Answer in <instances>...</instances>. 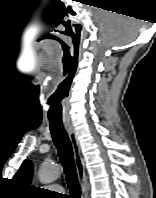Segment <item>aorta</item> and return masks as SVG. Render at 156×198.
I'll return each mask as SVG.
<instances>
[{"mask_svg": "<svg viewBox=\"0 0 156 198\" xmlns=\"http://www.w3.org/2000/svg\"><path fill=\"white\" fill-rule=\"evenodd\" d=\"M61 169L57 164L45 162L39 170V180L43 184H50L60 176Z\"/></svg>", "mask_w": 156, "mask_h": 198, "instance_id": "762f6f07", "label": "aorta"}]
</instances>
